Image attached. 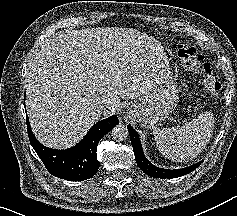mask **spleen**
<instances>
[{
    "instance_id": "3e777b00",
    "label": "spleen",
    "mask_w": 237,
    "mask_h": 216,
    "mask_svg": "<svg viewBox=\"0 0 237 216\" xmlns=\"http://www.w3.org/2000/svg\"><path fill=\"white\" fill-rule=\"evenodd\" d=\"M214 124L208 113L182 126L172 128H153L158 150L168 159L188 161L194 159L206 147L212 137Z\"/></svg>"
}]
</instances>
